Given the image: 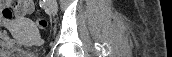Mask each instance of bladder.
Listing matches in <instances>:
<instances>
[{"label": "bladder", "instance_id": "bladder-1", "mask_svg": "<svg viewBox=\"0 0 172 57\" xmlns=\"http://www.w3.org/2000/svg\"><path fill=\"white\" fill-rule=\"evenodd\" d=\"M0 56L1 57H24L20 53H16V54H6V53H4V54H0Z\"/></svg>", "mask_w": 172, "mask_h": 57}]
</instances>
